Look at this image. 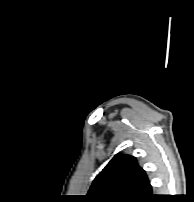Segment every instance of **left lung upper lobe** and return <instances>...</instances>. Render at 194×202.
<instances>
[{
    "mask_svg": "<svg viewBox=\"0 0 194 202\" xmlns=\"http://www.w3.org/2000/svg\"><path fill=\"white\" fill-rule=\"evenodd\" d=\"M91 202H146L152 188L145 171L129 155H115L93 181Z\"/></svg>",
    "mask_w": 194,
    "mask_h": 202,
    "instance_id": "obj_1",
    "label": "left lung upper lobe"
}]
</instances>
